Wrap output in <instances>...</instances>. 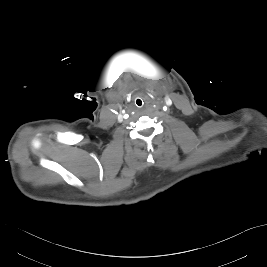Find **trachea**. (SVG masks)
<instances>
[{
    "label": "trachea",
    "mask_w": 267,
    "mask_h": 267,
    "mask_svg": "<svg viewBox=\"0 0 267 267\" xmlns=\"http://www.w3.org/2000/svg\"><path fill=\"white\" fill-rule=\"evenodd\" d=\"M140 102H141V100H140ZM141 105H142V102L140 104H138V106H141Z\"/></svg>",
    "instance_id": "obj_1"
}]
</instances>
